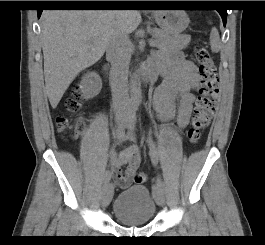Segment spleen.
Returning a JSON list of instances; mask_svg holds the SVG:
<instances>
[{
	"label": "spleen",
	"mask_w": 265,
	"mask_h": 245,
	"mask_svg": "<svg viewBox=\"0 0 265 245\" xmlns=\"http://www.w3.org/2000/svg\"><path fill=\"white\" fill-rule=\"evenodd\" d=\"M210 43H211L212 51L218 52L220 49V38H219L218 30L216 28H213L211 30Z\"/></svg>",
	"instance_id": "obj_1"
}]
</instances>
